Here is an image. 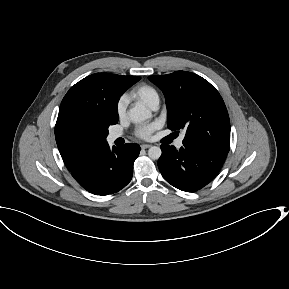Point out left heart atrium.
Returning <instances> with one entry per match:
<instances>
[{
    "label": "left heart atrium",
    "instance_id": "obj_1",
    "mask_svg": "<svg viewBox=\"0 0 289 289\" xmlns=\"http://www.w3.org/2000/svg\"><path fill=\"white\" fill-rule=\"evenodd\" d=\"M156 128L155 124L142 126L137 130L136 135L141 139H149Z\"/></svg>",
    "mask_w": 289,
    "mask_h": 289
}]
</instances>
